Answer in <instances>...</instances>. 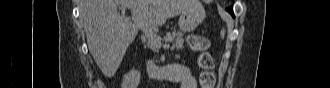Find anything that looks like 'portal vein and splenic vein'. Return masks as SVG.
Returning <instances> with one entry per match:
<instances>
[{
  "instance_id": "portal-vein-and-splenic-vein-1",
  "label": "portal vein and splenic vein",
  "mask_w": 330,
  "mask_h": 88,
  "mask_svg": "<svg viewBox=\"0 0 330 88\" xmlns=\"http://www.w3.org/2000/svg\"><path fill=\"white\" fill-rule=\"evenodd\" d=\"M133 18L135 19L136 24L139 26V28L142 29L143 33L148 37V39L151 40V42L157 47H162L160 37L157 36V34L154 32V30L150 27V25L145 21L142 12L140 10H132ZM168 43H165L163 45V48H169L171 40L167 41Z\"/></svg>"
}]
</instances>
